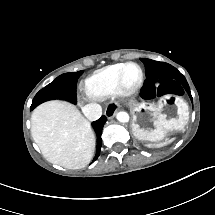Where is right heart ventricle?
<instances>
[{
  "mask_svg": "<svg viewBox=\"0 0 215 215\" xmlns=\"http://www.w3.org/2000/svg\"><path fill=\"white\" fill-rule=\"evenodd\" d=\"M122 63L107 65L93 72L85 81L90 89V95L95 100H102L109 96L114 85L115 74L118 73Z\"/></svg>",
  "mask_w": 215,
  "mask_h": 215,
  "instance_id": "1",
  "label": "right heart ventricle"
}]
</instances>
